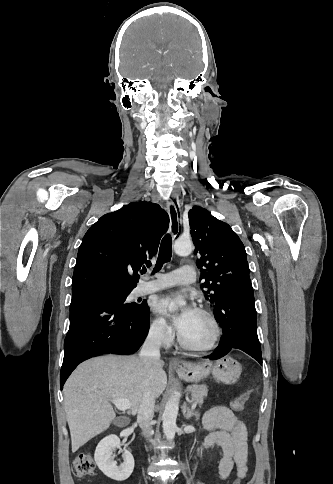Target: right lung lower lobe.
Instances as JSON below:
<instances>
[{"label":"right lung lower lobe","mask_w":333,"mask_h":484,"mask_svg":"<svg viewBox=\"0 0 333 484\" xmlns=\"http://www.w3.org/2000/svg\"><path fill=\"white\" fill-rule=\"evenodd\" d=\"M149 314L119 307L103 290L72 293L70 327L64 342L61 389L75 367L102 354H132L149 331Z\"/></svg>","instance_id":"98d812e1"}]
</instances>
